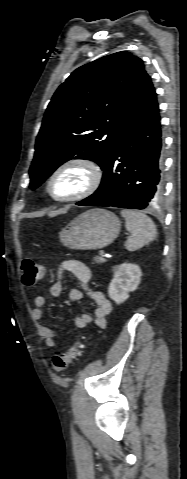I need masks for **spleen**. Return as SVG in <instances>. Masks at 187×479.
<instances>
[{
	"label": "spleen",
	"mask_w": 187,
	"mask_h": 479,
	"mask_svg": "<svg viewBox=\"0 0 187 479\" xmlns=\"http://www.w3.org/2000/svg\"><path fill=\"white\" fill-rule=\"evenodd\" d=\"M121 215L126 220V229L131 233L125 243L128 251L138 250L156 239V226L146 214L124 209L121 211Z\"/></svg>",
	"instance_id": "obj_1"
}]
</instances>
